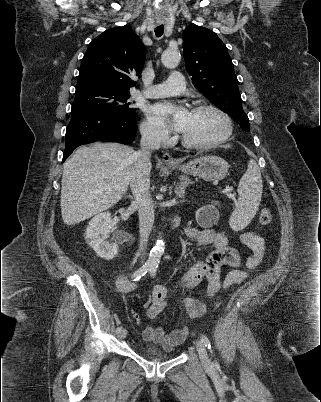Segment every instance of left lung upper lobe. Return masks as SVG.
Here are the masks:
<instances>
[{
    "instance_id": "1",
    "label": "left lung upper lobe",
    "mask_w": 321,
    "mask_h": 402,
    "mask_svg": "<svg viewBox=\"0 0 321 402\" xmlns=\"http://www.w3.org/2000/svg\"><path fill=\"white\" fill-rule=\"evenodd\" d=\"M182 37L186 68L195 88L249 131V119L242 108L238 80L225 44L216 33L195 24L189 25Z\"/></svg>"
}]
</instances>
